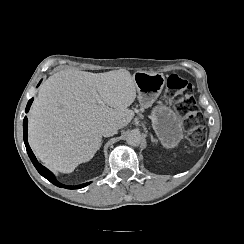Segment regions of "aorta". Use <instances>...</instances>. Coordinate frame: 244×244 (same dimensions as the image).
Instances as JSON below:
<instances>
[{
  "label": "aorta",
  "instance_id": "aorta-1",
  "mask_svg": "<svg viewBox=\"0 0 244 244\" xmlns=\"http://www.w3.org/2000/svg\"><path fill=\"white\" fill-rule=\"evenodd\" d=\"M126 141L131 146H138L141 143V135L138 131H131L127 134Z\"/></svg>",
  "mask_w": 244,
  "mask_h": 244
}]
</instances>
